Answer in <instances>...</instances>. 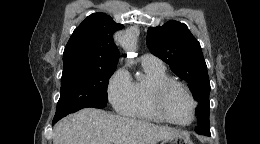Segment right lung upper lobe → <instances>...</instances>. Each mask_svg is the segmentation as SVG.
Instances as JSON below:
<instances>
[{"label": "right lung upper lobe", "instance_id": "cb5924a9", "mask_svg": "<svg viewBox=\"0 0 260 144\" xmlns=\"http://www.w3.org/2000/svg\"><path fill=\"white\" fill-rule=\"evenodd\" d=\"M123 28L105 13L88 16L73 32L63 53V72L116 68L119 50L112 35Z\"/></svg>", "mask_w": 260, "mask_h": 144}]
</instances>
